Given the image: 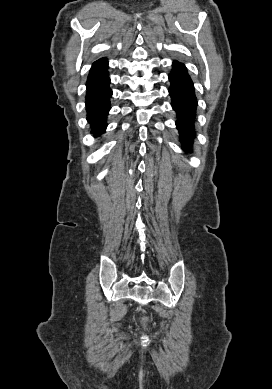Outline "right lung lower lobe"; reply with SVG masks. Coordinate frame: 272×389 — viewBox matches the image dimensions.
Masks as SVG:
<instances>
[{"label": "right lung lower lobe", "instance_id": "right-lung-lower-lobe-1", "mask_svg": "<svg viewBox=\"0 0 272 389\" xmlns=\"http://www.w3.org/2000/svg\"><path fill=\"white\" fill-rule=\"evenodd\" d=\"M108 60L101 58L95 61L90 69L86 82L87 121L92 126L91 133L102 134L107 127L106 117L110 110L112 90L109 87Z\"/></svg>", "mask_w": 272, "mask_h": 389}]
</instances>
